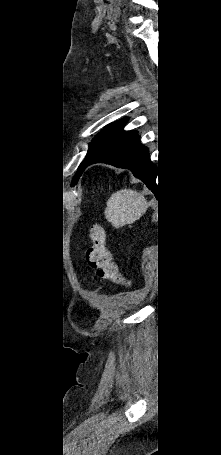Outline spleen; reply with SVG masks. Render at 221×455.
<instances>
[{
    "label": "spleen",
    "instance_id": "1",
    "mask_svg": "<svg viewBox=\"0 0 221 455\" xmlns=\"http://www.w3.org/2000/svg\"><path fill=\"white\" fill-rule=\"evenodd\" d=\"M106 204L105 217L116 228L135 222L148 208L145 197L132 189L113 193Z\"/></svg>",
    "mask_w": 221,
    "mask_h": 455
}]
</instances>
